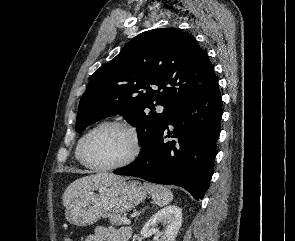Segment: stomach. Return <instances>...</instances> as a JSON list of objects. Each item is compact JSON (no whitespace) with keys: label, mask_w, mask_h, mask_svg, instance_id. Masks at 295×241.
Returning a JSON list of instances; mask_svg holds the SVG:
<instances>
[{"label":"stomach","mask_w":295,"mask_h":241,"mask_svg":"<svg viewBox=\"0 0 295 241\" xmlns=\"http://www.w3.org/2000/svg\"><path fill=\"white\" fill-rule=\"evenodd\" d=\"M147 190L138 181L120 180L74 198L65 212L66 220L76 226L96 223L107 213H125L145 200Z\"/></svg>","instance_id":"stomach-1"}]
</instances>
